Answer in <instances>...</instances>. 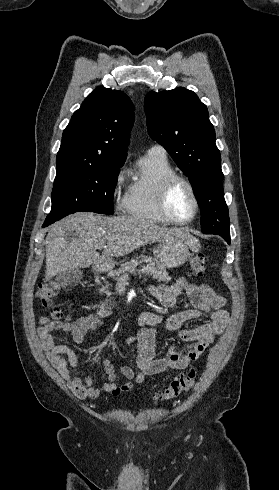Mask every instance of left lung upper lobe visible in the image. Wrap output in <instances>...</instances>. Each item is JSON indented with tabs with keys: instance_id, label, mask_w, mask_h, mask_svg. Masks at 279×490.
I'll list each match as a JSON object with an SVG mask.
<instances>
[{
	"instance_id": "5c2ea615",
	"label": "left lung upper lobe",
	"mask_w": 279,
	"mask_h": 490,
	"mask_svg": "<svg viewBox=\"0 0 279 490\" xmlns=\"http://www.w3.org/2000/svg\"><path fill=\"white\" fill-rule=\"evenodd\" d=\"M150 137L161 144L188 176L199 207L201 230L230 243L220 151L208 110L190 90L179 87L149 92L145 97Z\"/></svg>"
}]
</instances>
